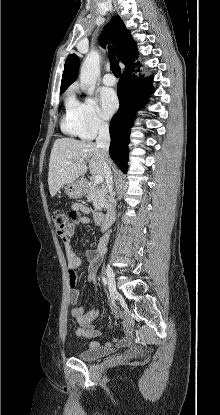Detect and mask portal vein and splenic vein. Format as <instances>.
<instances>
[{
	"mask_svg": "<svg viewBox=\"0 0 220 415\" xmlns=\"http://www.w3.org/2000/svg\"><path fill=\"white\" fill-rule=\"evenodd\" d=\"M80 161H83V159H80ZM68 163L70 164V163H71V161H69ZM94 182H95V184H97V185L101 184V183L103 182V177H102V176H100V175H96V176L94 177Z\"/></svg>",
	"mask_w": 220,
	"mask_h": 415,
	"instance_id": "obj_1",
	"label": "portal vein and splenic vein"
}]
</instances>
